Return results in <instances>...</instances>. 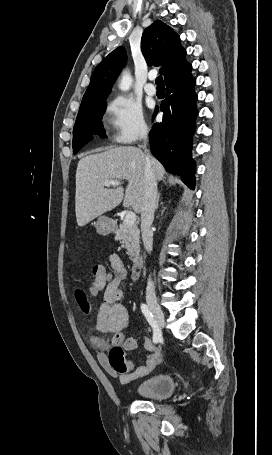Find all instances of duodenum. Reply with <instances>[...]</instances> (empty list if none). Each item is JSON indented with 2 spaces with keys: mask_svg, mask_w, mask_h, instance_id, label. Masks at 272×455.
<instances>
[{
  "mask_svg": "<svg viewBox=\"0 0 272 455\" xmlns=\"http://www.w3.org/2000/svg\"><path fill=\"white\" fill-rule=\"evenodd\" d=\"M143 267V259L141 256H136L133 260L131 276L133 279H138Z\"/></svg>",
  "mask_w": 272,
  "mask_h": 455,
  "instance_id": "duodenum-1",
  "label": "duodenum"
}]
</instances>
